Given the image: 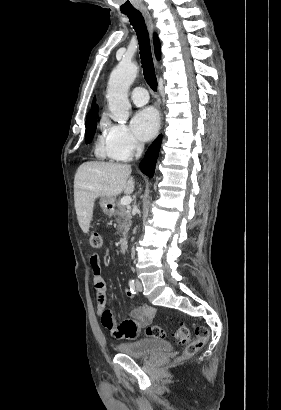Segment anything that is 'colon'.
Instances as JSON below:
<instances>
[{
  "label": "colon",
  "instance_id": "obj_1",
  "mask_svg": "<svg viewBox=\"0 0 281 410\" xmlns=\"http://www.w3.org/2000/svg\"><path fill=\"white\" fill-rule=\"evenodd\" d=\"M90 245L92 248L98 249L102 246V236L94 232L90 235ZM111 315L109 311L106 312V317ZM145 333L147 336L155 339H164L166 337V332L163 328L159 326H149L146 328ZM209 337L208 330L203 326H198L195 328V337L191 339L190 330L186 325H180L175 333V341L184 345V358H190L194 356L207 342Z\"/></svg>",
  "mask_w": 281,
  "mask_h": 410
}]
</instances>
